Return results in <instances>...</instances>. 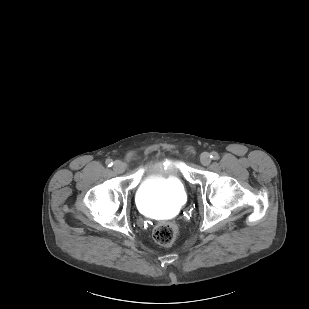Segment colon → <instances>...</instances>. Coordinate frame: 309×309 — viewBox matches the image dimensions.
Wrapping results in <instances>:
<instances>
[{
    "label": "colon",
    "mask_w": 309,
    "mask_h": 309,
    "mask_svg": "<svg viewBox=\"0 0 309 309\" xmlns=\"http://www.w3.org/2000/svg\"><path fill=\"white\" fill-rule=\"evenodd\" d=\"M178 235L177 226L173 222H162L158 224L153 231L154 240L164 246L175 242Z\"/></svg>",
    "instance_id": "1"
}]
</instances>
